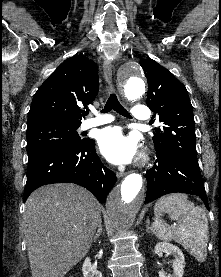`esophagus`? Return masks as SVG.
Here are the masks:
<instances>
[{
  "label": "esophagus",
  "mask_w": 221,
  "mask_h": 277,
  "mask_svg": "<svg viewBox=\"0 0 221 277\" xmlns=\"http://www.w3.org/2000/svg\"><path fill=\"white\" fill-rule=\"evenodd\" d=\"M103 71L105 75V79L111 83V75H112V63L109 59H105L103 63ZM109 91H112V87H110ZM118 178H121L126 175L125 172H117L116 173Z\"/></svg>",
  "instance_id": "esophagus-1"
}]
</instances>
